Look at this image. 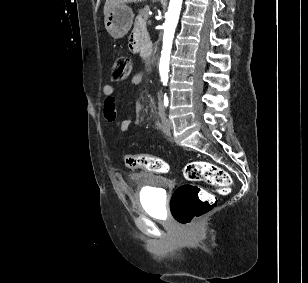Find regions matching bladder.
Returning a JSON list of instances; mask_svg holds the SVG:
<instances>
[{"instance_id":"obj_1","label":"bladder","mask_w":308,"mask_h":283,"mask_svg":"<svg viewBox=\"0 0 308 283\" xmlns=\"http://www.w3.org/2000/svg\"><path fill=\"white\" fill-rule=\"evenodd\" d=\"M139 205L142 213L162 218L165 213V198L162 189L155 186H143L139 191Z\"/></svg>"}]
</instances>
